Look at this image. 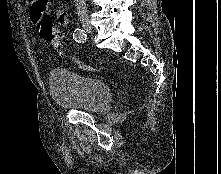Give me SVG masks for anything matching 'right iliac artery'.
I'll use <instances>...</instances> for the list:
<instances>
[{
  "mask_svg": "<svg viewBox=\"0 0 221 174\" xmlns=\"http://www.w3.org/2000/svg\"><path fill=\"white\" fill-rule=\"evenodd\" d=\"M73 39L78 43H84L87 39L86 32L83 29H76L73 33Z\"/></svg>",
  "mask_w": 221,
  "mask_h": 174,
  "instance_id": "right-iliac-artery-1",
  "label": "right iliac artery"
}]
</instances>
